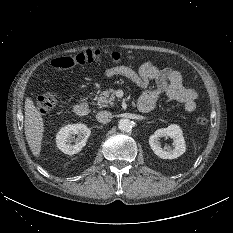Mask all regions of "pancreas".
<instances>
[{
    "label": "pancreas",
    "mask_w": 233,
    "mask_h": 233,
    "mask_svg": "<svg viewBox=\"0 0 233 233\" xmlns=\"http://www.w3.org/2000/svg\"><path fill=\"white\" fill-rule=\"evenodd\" d=\"M115 92L116 91L112 88L101 92L97 98V104L100 107H108L109 105H114Z\"/></svg>",
    "instance_id": "cf45deb5"
}]
</instances>
